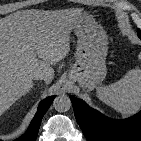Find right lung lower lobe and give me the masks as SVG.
Listing matches in <instances>:
<instances>
[{
  "label": "right lung lower lobe",
  "instance_id": "98d812e1",
  "mask_svg": "<svg viewBox=\"0 0 141 141\" xmlns=\"http://www.w3.org/2000/svg\"><path fill=\"white\" fill-rule=\"evenodd\" d=\"M54 98L55 96L48 97L39 104L37 113L35 117L33 118L26 133L14 141H35L37 134H38V130L40 127L42 117L44 116L48 108L50 107Z\"/></svg>",
  "mask_w": 141,
  "mask_h": 141
}]
</instances>
